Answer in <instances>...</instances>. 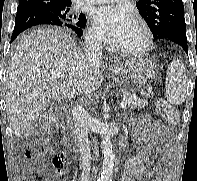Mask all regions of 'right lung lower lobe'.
Returning <instances> with one entry per match:
<instances>
[{"instance_id":"1","label":"right lung lower lobe","mask_w":197,"mask_h":181,"mask_svg":"<svg viewBox=\"0 0 197 181\" xmlns=\"http://www.w3.org/2000/svg\"><path fill=\"white\" fill-rule=\"evenodd\" d=\"M37 25L66 26L72 29L78 36H81L84 30V27L62 22L57 16L42 6L20 2L17 8L15 28L11 41L27 28Z\"/></svg>"}]
</instances>
